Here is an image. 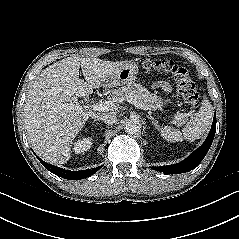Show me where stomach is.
I'll list each match as a JSON object with an SVG mask.
<instances>
[{
	"mask_svg": "<svg viewBox=\"0 0 239 239\" xmlns=\"http://www.w3.org/2000/svg\"><path fill=\"white\" fill-rule=\"evenodd\" d=\"M138 70V65L134 61H126L112 73L105 86L114 88L129 84L136 79Z\"/></svg>",
	"mask_w": 239,
	"mask_h": 239,
	"instance_id": "stomach-1",
	"label": "stomach"
}]
</instances>
